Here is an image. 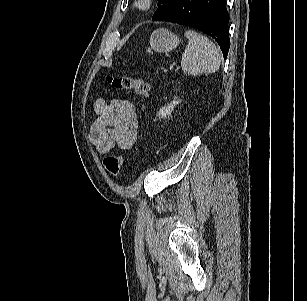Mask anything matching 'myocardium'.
Here are the masks:
<instances>
[{
  "label": "myocardium",
  "mask_w": 307,
  "mask_h": 301,
  "mask_svg": "<svg viewBox=\"0 0 307 301\" xmlns=\"http://www.w3.org/2000/svg\"><path fill=\"white\" fill-rule=\"evenodd\" d=\"M156 0H134L133 6L142 13L149 12L153 9Z\"/></svg>",
  "instance_id": "f54148a6"
}]
</instances>
